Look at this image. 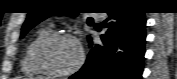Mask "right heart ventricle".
Masks as SVG:
<instances>
[{
    "mask_svg": "<svg viewBox=\"0 0 177 79\" xmlns=\"http://www.w3.org/2000/svg\"><path fill=\"white\" fill-rule=\"evenodd\" d=\"M52 33V30L48 27L40 29L33 39L27 44L23 58L21 60V70L27 75H43L44 73L36 66L33 60L34 50L36 46L47 36Z\"/></svg>",
    "mask_w": 177,
    "mask_h": 79,
    "instance_id": "obj_1",
    "label": "right heart ventricle"
}]
</instances>
